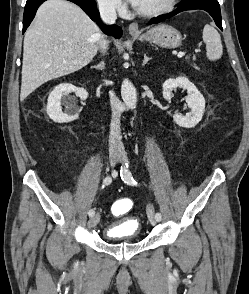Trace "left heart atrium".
<instances>
[{"label":"left heart atrium","instance_id":"1","mask_svg":"<svg viewBox=\"0 0 249 294\" xmlns=\"http://www.w3.org/2000/svg\"><path fill=\"white\" fill-rule=\"evenodd\" d=\"M131 1L132 3L136 4L137 3V0H129Z\"/></svg>","mask_w":249,"mask_h":294}]
</instances>
